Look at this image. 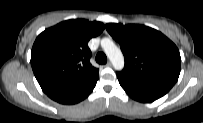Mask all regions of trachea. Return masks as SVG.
I'll list each match as a JSON object with an SVG mask.
<instances>
[{"instance_id":"1","label":"trachea","mask_w":203,"mask_h":123,"mask_svg":"<svg viewBox=\"0 0 203 123\" xmlns=\"http://www.w3.org/2000/svg\"><path fill=\"white\" fill-rule=\"evenodd\" d=\"M96 62L99 64H105L107 62V57L103 52H99L96 55Z\"/></svg>"}]
</instances>
